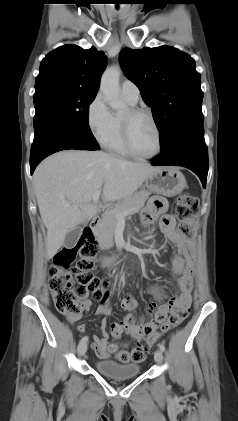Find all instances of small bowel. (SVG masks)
I'll use <instances>...</instances> for the list:
<instances>
[{
    "label": "small bowel",
    "mask_w": 238,
    "mask_h": 421,
    "mask_svg": "<svg viewBox=\"0 0 238 421\" xmlns=\"http://www.w3.org/2000/svg\"><path fill=\"white\" fill-rule=\"evenodd\" d=\"M167 209L166 200L162 197H153L149 200L142 213V222L145 226L151 225L157 218L162 232L167 239L175 246L176 254L172 260V268L177 275V293L168 302H164L165 295L158 287H152L151 291L155 295L157 302H150L147 307L149 320L143 322V317L136 318L133 312L137 309V301L132 295H126L121 301V307L128 312L120 322L111 325L112 341H109L107 331L106 316L111 313L109 303V293L106 291L103 300L96 310V315L101 317L100 335L93 337L92 348L100 358H108L116 354L122 346L119 338L124 334H129L134 339L150 336L157 333L160 325L164 323L170 311L174 308L188 309L192 302V285L194 275L195 252L193 244L186 239L177 229L174 218L165 214ZM90 302L86 301V309ZM79 316L69 317L71 323H75ZM80 332L85 331L84 325H79Z\"/></svg>",
    "instance_id": "small-bowel-1"
}]
</instances>
